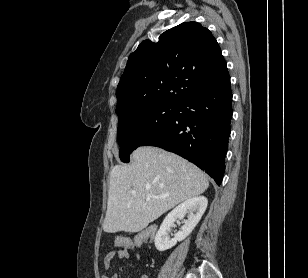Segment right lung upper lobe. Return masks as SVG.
Instances as JSON below:
<instances>
[{
	"mask_svg": "<svg viewBox=\"0 0 308 278\" xmlns=\"http://www.w3.org/2000/svg\"><path fill=\"white\" fill-rule=\"evenodd\" d=\"M229 78L212 33L197 22H184L130 54L117 87L116 113L120 121L149 106L178 105Z\"/></svg>",
	"mask_w": 308,
	"mask_h": 278,
	"instance_id": "cb5924a9",
	"label": "right lung upper lobe"
}]
</instances>
